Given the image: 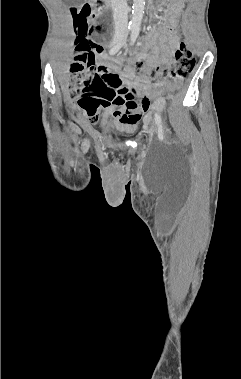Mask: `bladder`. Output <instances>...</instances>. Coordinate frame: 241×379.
I'll use <instances>...</instances> for the list:
<instances>
[{"mask_svg":"<svg viewBox=\"0 0 241 379\" xmlns=\"http://www.w3.org/2000/svg\"><path fill=\"white\" fill-rule=\"evenodd\" d=\"M115 134L122 135L123 134V130H119Z\"/></svg>","mask_w":241,"mask_h":379,"instance_id":"31cf9c89","label":"bladder"}]
</instances>
